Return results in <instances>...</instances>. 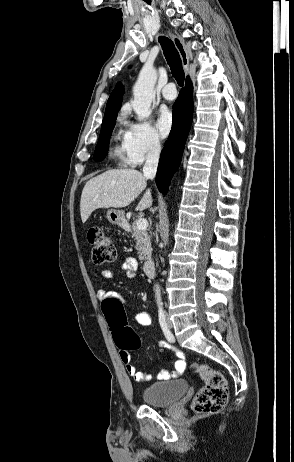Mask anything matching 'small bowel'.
I'll return each mask as SVG.
<instances>
[{"label": "small bowel", "instance_id": "obj_1", "mask_svg": "<svg viewBox=\"0 0 294 462\" xmlns=\"http://www.w3.org/2000/svg\"><path fill=\"white\" fill-rule=\"evenodd\" d=\"M138 263L137 260L133 257H124L120 266V269L126 273L127 276L132 277L135 275L137 271ZM101 275L106 278H111L115 276V272L110 269H103L101 271ZM112 294L104 289H100L97 292V296L100 299H104L106 296ZM135 321L137 324L141 326H148L151 323V316L146 311H140L135 316ZM160 348L164 349H171V345L168 342H161ZM175 354L177 356V360L174 364V370L169 372L166 369H162L158 374V379L165 380L169 379L170 377H177L184 373L186 369V362H185V355L180 350H175ZM120 359L125 365L126 372L129 376H131L136 382L142 383L149 381L151 379V375L144 372L139 371L135 367L134 364L131 363V355L129 351L120 350Z\"/></svg>", "mask_w": 294, "mask_h": 462}]
</instances>
